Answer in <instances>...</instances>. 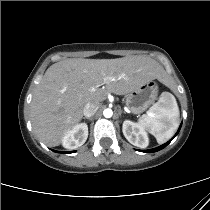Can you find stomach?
<instances>
[{"instance_id": "obj_1", "label": "stomach", "mask_w": 210, "mask_h": 210, "mask_svg": "<svg viewBox=\"0 0 210 210\" xmlns=\"http://www.w3.org/2000/svg\"><path fill=\"white\" fill-rule=\"evenodd\" d=\"M158 85L149 81L130 91L126 95V106L134 114H140L148 109L156 100Z\"/></svg>"}]
</instances>
